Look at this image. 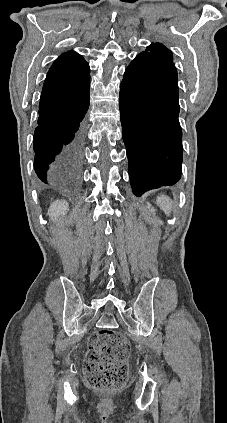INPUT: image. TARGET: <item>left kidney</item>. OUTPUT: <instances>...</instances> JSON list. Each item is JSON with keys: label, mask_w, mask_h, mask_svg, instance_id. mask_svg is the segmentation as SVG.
<instances>
[{"label": "left kidney", "mask_w": 227, "mask_h": 423, "mask_svg": "<svg viewBox=\"0 0 227 423\" xmlns=\"http://www.w3.org/2000/svg\"><path fill=\"white\" fill-rule=\"evenodd\" d=\"M147 208H149V211H155L153 210V208H151V204H148V202H147Z\"/></svg>", "instance_id": "left-kidney-1"}]
</instances>
